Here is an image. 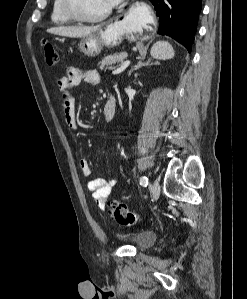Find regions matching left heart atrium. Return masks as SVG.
Wrapping results in <instances>:
<instances>
[{
  "label": "left heart atrium",
  "mask_w": 247,
  "mask_h": 299,
  "mask_svg": "<svg viewBox=\"0 0 247 299\" xmlns=\"http://www.w3.org/2000/svg\"><path fill=\"white\" fill-rule=\"evenodd\" d=\"M108 1H109L110 6H115V5H117L121 0H108Z\"/></svg>",
  "instance_id": "left-heart-atrium-1"
}]
</instances>
